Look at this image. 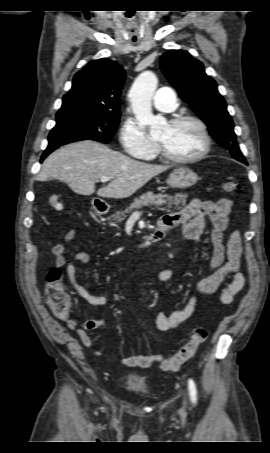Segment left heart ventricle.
Masks as SVG:
<instances>
[{
	"instance_id": "1",
	"label": "left heart ventricle",
	"mask_w": 270,
	"mask_h": 453,
	"mask_svg": "<svg viewBox=\"0 0 270 453\" xmlns=\"http://www.w3.org/2000/svg\"><path fill=\"white\" fill-rule=\"evenodd\" d=\"M156 140L163 144L168 153L176 157L195 155L204 145L200 129L192 122L178 125L166 123L159 131Z\"/></svg>"
}]
</instances>
